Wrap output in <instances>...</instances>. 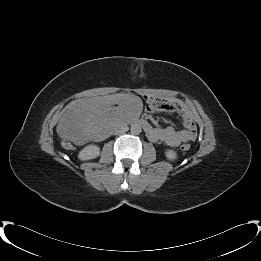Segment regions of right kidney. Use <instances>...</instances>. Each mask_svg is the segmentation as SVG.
Returning <instances> with one entry per match:
<instances>
[{
    "label": "right kidney",
    "instance_id": "1",
    "mask_svg": "<svg viewBox=\"0 0 261 261\" xmlns=\"http://www.w3.org/2000/svg\"><path fill=\"white\" fill-rule=\"evenodd\" d=\"M100 155V148L97 145L90 144L84 147L78 154L80 160H90Z\"/></svg>",
    "mask_w": 261,
    "mask_h": 261
}]
</instances>
